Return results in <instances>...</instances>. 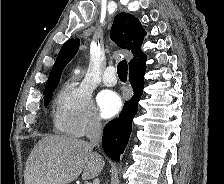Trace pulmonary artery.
I'll return each instance as SVG.
<instances>
[{
	"mask_svg": "<svg viewBox=\"0 0 224 184\" xmlns=\"http://www.w3.org/2000/svg\"><path fill=\"white\" fill-rule=\"evenodd\" d=\"M103 83L106 86L112 87L116 85L117 78H116V69L113 66H109L103 75Z\"/></svg>",
	"mask_w": 224,
	"mask_h": 184,
	"instance_id": "pulmonary-artery-1",
	"label": "pulmonary artery"
}]
</instances>
